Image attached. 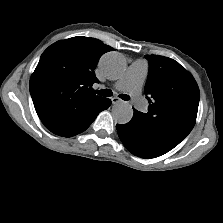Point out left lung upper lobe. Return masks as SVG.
Listing matches in <instances>:
<instances>
[{"mask_svg":"<svg viewBox=\"0 0 223 223\" xmlns=\"http://www.w3.org/2000/svg\"><path fill=\"white\" fill-rule=\"evenodd\" d=\"M150 62L145 92L147 113L133 118L149 133L179 144L193 129L200 92L192 75L173 59L146 55Z\"/></svg>","mask_w":223,"mask_h":223,"instance_id":"1","label":"left lung upper lobe"}]
</instances>
